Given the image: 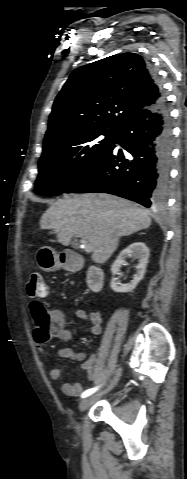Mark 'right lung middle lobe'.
Instances as JSON below:
<instances>
[{"label":"right lung middle lobe","mask_w":187,"mask_h":479,"mask_svg":"<svg viewBox=\"0 0 187 479\" xmlns=\"http://www.w3.org/2000/svg\"><path fill=\"white\" fill-rule=\"evenodd\" d=\"M118 129H89L44 145L35 192L43 196L65 193L115 142Z\"/></svg>","instance_id":"right-lung-middle-lobe-1"}]
</instances>
